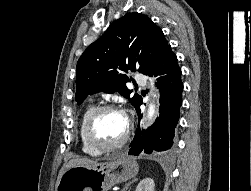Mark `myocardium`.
I'll list each match as a JSON object with an SVG mask.
<instances>
[{"label": "myocardium", "mask_w": 251, "mask_h": 191, "mask_svg": "<svg viewBox=\"0 0 251 191\" xmlns=\"http://www.w3.org/2000/svg\"><path fill=\"white\" fill-rule=\"evenodd\" d=\"M107 111L117 112L123 117L125 121V131L122 138L117 143H114L112 145H104L100 143L99 141H97L94 135V128L97 120L104 112ZM130 132H131V122L128 119V117L125 116L120 110H118L115 106L111 104H103L95 107L87 117L83 128L84 141L87 144V146L101 153L114 151L122 147L127 142L130 136Z\"/></svg>", "instance_id": "f54148a6"}]
</instances>
